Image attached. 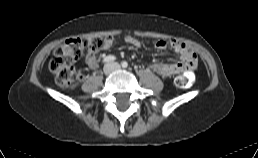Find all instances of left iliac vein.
I'll return each instance as SVG.
<instances>
[{
	"instance_id": "1",
	"label": "left iliac vein",
	"mask_w": 258,
	"mask_h": 158,
	"mask_svg": "<svg viewBox=\"0 0 258 158\" xmlns=\"http://www.w3.org/2000/svg\"><path fill=\"white\" fill-rule=\"evenodd\" d=\"M112 66H113L114 70H119L120 69V65L118 63H113Z\"/></svg>"
}]
</instances>
